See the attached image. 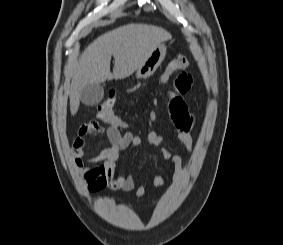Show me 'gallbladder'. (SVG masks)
I'll return each mask as SVG.
<instances>
[{
  "mask_svg": "<svg viewBox=\"0 0 283 245\" xmlns=\"http://www.w3.org/2000/svg\"><path fill=\"white\" fill-rule=\"evenodd\" d=\"M104 89L100 84H87L80 92V100L87 106H94L101 102Z\"/></svg>",
  "mask_w": 283,
  "mask_h": 245,
  "instance_id": "1",
  "label": "gallbladder"
}]
</instances>
